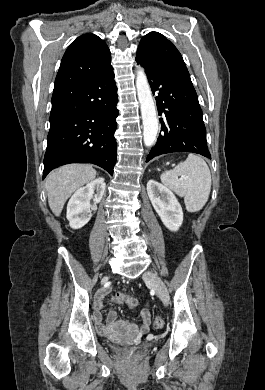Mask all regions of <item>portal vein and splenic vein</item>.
<instances>
[{
    "label": "portal vein and splenic vein",
    "instance_id": "1",
    "mask_svg": "<svg viewBox=\"0 0 265 390\" xmlns=\"http://www.w3.org/2000/svg\"><path fill=\"white\" fill-rule=\"evenodd\" d=\"M181 180H184V177H181Z\"/></svg>",
    "mask_w": 265,
    "mask_h": 390
}]
</instances>
